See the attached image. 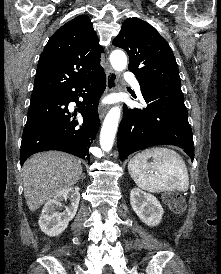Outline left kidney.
<instances>
[{
  "label": "left kidney",
  "mask_w": 221,
  "mask_h": 274,
  "mask_svg": "<svg viewBox=\"0 0 221 274\" xmlns=\"http://www.w3.org/2000/svg\"><path fill=\"white\" fill-rule=\"evenodd\" d=\"M130 203L143 223L150 227L157 226L160 223L164 210L156 197L134 188L130 193Z\"/></svg>",
  "instance_id": "1"
}]
</instances>
